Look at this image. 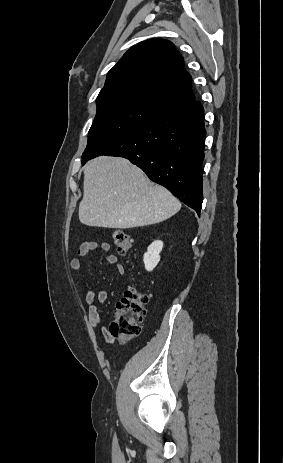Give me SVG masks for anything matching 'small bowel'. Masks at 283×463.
Listing matches in <instances>:
<instances>
[{
	"instance_id": "1",
	"label": "small bowel",
	"mask_w": 283,
	"mask_h": 463,
	"mask_svg": "<svg viewBox=\"0 0 283 463\" xmlns=\"http://www.w3.org/2000/svg\"><path fill=\"white\" fill-rule=\"evenodd\" d=\"M100 249L104 252H110L111 246L108 242L98 243L97 241H86L78 249L77 256L72 259L71 267L75 271H79L82 267L83 260L87 257L88 253ZM107 263L114 265L118 274L124 273V267L118 262V257L109 253L106 257ZM108 293L106 290H100L96 293L92 286H88L85 294V300L88 304V318L90 326L93 330L102 322L101 315L98 310V303H103L107 299ZM103 334L106 342L113 343L114 337L111 335L107 328L103 329Z\"/></svg>"
}]
</instances>
